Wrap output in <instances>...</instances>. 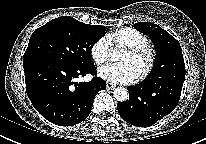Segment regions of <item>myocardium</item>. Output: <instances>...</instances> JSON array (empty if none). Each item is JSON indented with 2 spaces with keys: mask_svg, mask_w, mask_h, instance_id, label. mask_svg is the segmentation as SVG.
<instances>
[{
  "mask_svg": "<svg viewBox=\"0 0 206 144\" xmlns=\"http://www.w3.org/2000/svg\"><path fill=\"white\" fill-rule=\"evenodd\" d=\"M126 51L136 57H145V66L136 78L137 81L145 80L151 74L155 65L156 56L154 50L146 45L126 47Z\"/></svg>",
  "mask_w": 206,
  "mask_h": 144,
  "instance_id": "myocardium-1",
  "label": "myocardium"
}]
</instances>
